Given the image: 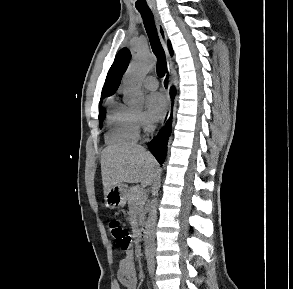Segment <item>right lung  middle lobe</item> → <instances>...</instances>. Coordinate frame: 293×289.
<instances>
[{"mask_svg":"<svg viewBox=\"0 0 293 289\" xmlns=\"http://www.w3.org/2000/svg\"><path fill=\"white\" fill-rule=\"evenodd\" d=\"M104 117H105V110H103L102 112L99 113V125H100V128L102 127V122L104 120Z\"/></svg>","mask_w":293,"mask_h":289,"instance_id":"1","label":"right lung middle lobe"}]
</instances>
